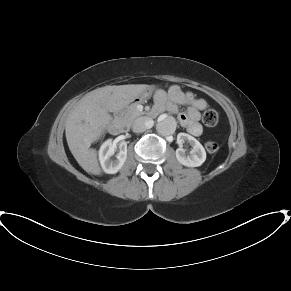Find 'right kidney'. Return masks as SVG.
I'll use <instances>...</instances> for the list:
<instances>
[{
	"label": "right kidney",
	"instance_id": "right-kidney-1",
	"mask_svg": "<svg viewBox=\"0 0 291 291\" xmlns=\"http://www.w3.org/2000/svg\"><path fill=\"white\" fill-rule=\"evenodd\" d=\"M116 150V146L112 143L111 139L105 141L99 149V160L102 169L108 174L117 173L124 165L127 158V144L121 142L119 146V153L116 159H112Z\"/></svg>",
	"mask_w": 291,
	"mask_h": 291
}]
</instances>
